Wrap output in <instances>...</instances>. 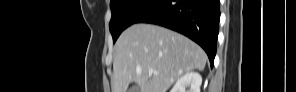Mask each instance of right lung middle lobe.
<instances>
[{
	"mask_svg": "<svg viewBox=\"0 0 296 92\" xmlns=\"http://www.w3.org/2000/svg\"><path fill=\"white\" fill-rule=\"evenodd\" d=\"M158 0H111L112 18L109 29L113 42L121 32L147 12Z\"/></svg>",
	"mask_w": 296,
	"mask_h": 92,
	"instance_id": "dd1d6c3e",
	"label": "right lung middle lobe"
}]
</instances>
